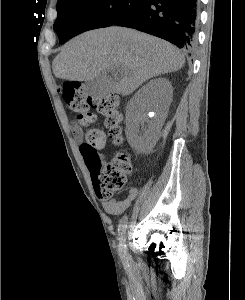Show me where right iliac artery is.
Instances as JSON below:
<instances>
[{
	"label": "right iliac artery",
	"instance_id": "82829eb1",
	"mask_svg": "<svg viewBox=\"0 0 245 300\" xmlns=\"http://www.w3.org/2000/svg\"><path fill=\"white\" fill-rule=\"evenodd\" d=\"M127 216H123L120 219L118 226V240H119V253L123 259L126 258V244H125V233L127 229Z\"/></svg>",
	"mask_w": 245,
	"mask_h": 300
}]
</instances>
